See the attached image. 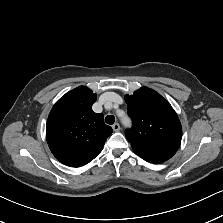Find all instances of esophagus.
<instances>
[{
  "instance_id": "esophagus-1",
  "label": "esophagus",
  "mask_w": 223,
  "mask_h": 223,
  "mask_svg": "<svg viewBox=\"0 0 223 223\" xmlns=\"http://www.w3.org/2000/svg\"><path fill=\"white\" fill-rule=\"evenodd\" d=\"M112 129H113V131L118 132V131L120 130V125H119V123H115V124H113V125H112Z\"/></svg>"
}]
</instances>
